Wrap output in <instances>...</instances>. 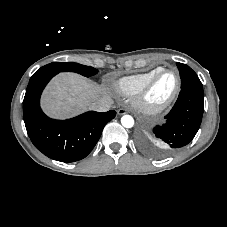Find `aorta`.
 I'll return each instance as SVG.
<instances>
[{
  "label": "aorta",
  "instance_id": "obj_1",
  "mask_svg": "<svg viewBox=\"0 0 227 227\" xmlns=\"http://www.w3.org/2000/svg\"><path fill=\"white\" fill-rule=\"evenodd\" d=\"M121 124L125 127V128H132L134 126V119L132 116L130 115H124L121 118Z\"/></svg>",
  "mask_w": 227,
  "mask_h": 227
}]
</instances>
